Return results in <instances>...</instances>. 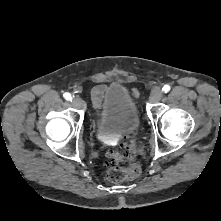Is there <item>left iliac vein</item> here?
Segmentation results:
<instances>
[{
  "instance_id": "4c4485c4",
  "label": "left iliac vein",
  "mask_w": 221,
  "mask_h": 221,
  "mask_svg": "<svg viewBox=\"0 0 221 221\" xmlns=\"http://www.w3.org/2000/svg\"><path fill=\"white\" fill-rule=\"evenodd\" d=\"M163 96V93L160 89H154L150 94V101L151 102H158Z\"/></svg>"
}]
</instances>
